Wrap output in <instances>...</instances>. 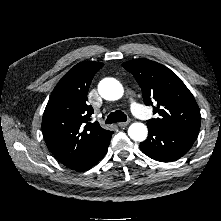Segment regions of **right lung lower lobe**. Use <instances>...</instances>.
Segmentation results:
<instances>
[{"instance_id":"98d812e1","label":"right lung lower lobe","mask_w":221,"mask_h":221,"mask_svg":"<svg viewBox=\"0 0 221 221\" xmlns=\"http://www.w3.org/2000/svg\"><path fill=\"white\" fill-rule=\"evenodd\" d=\"M111 135L99 147L66 166L76 171H85L94 166L106 154L110 144Z\"/></svg>"}]
</instances>
